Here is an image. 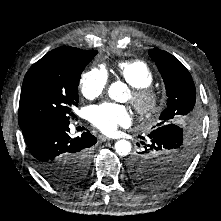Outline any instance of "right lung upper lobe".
<instances>
[{"mask_svg": "<svg viewBox=\"0 0 221 221\" xmlns=\"http://www.w3.org/2000/svg\"><path fill=\"white\" fill-rule=\"evenodd\" d=\"M88 52L90 51L81 50L74 47H59L47 53L40 60H54L63 58L73 59L77 57H83L87 55Z\"/></svg>", "mask_w": 221, "mask_h": 221, "instance_id": "1", "label": "right lung upper lobe"}]
</instances>
